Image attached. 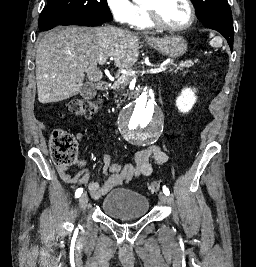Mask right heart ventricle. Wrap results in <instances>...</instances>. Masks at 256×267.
<instances>
[{
	"instance_id": "right-heart-ventricle-1",
	"label": "right heart ventricle",
	"mask_w": 256,
	"mask_h": 267,
	"mask_svg": "<svg viewBox=\"0 0 256 267\" xmlns=\"http://www.w3.org/2000/svg\"><path fill=\"white\" fill-rule=\"evenodd\" d=\"M145 3H146L145 0H138L137 1V5H138L139 8H144L145 7Z\"/></svg>"
}]
</instances>
